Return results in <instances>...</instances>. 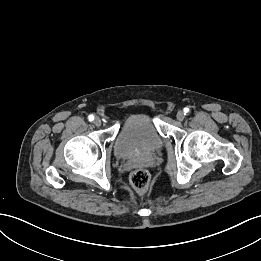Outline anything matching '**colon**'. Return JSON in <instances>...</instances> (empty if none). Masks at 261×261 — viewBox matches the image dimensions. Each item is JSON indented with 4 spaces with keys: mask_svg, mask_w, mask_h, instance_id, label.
I'll return each instance as SVG.
<instances>
[{
    "mask_svg": "<svg viewBox=\"0 0 261 261\" xmlns=\"http://www.w3.org/2000/svg\"><path fill=\"white\" fill-rule=\"evenodd\" d=\"M130 181L137 192H144L148 188L150 175L144 169H137L131 173Z\"/></svg>",
    "mask_w": 261,
    "mask_h": 261,
    "instance_id": "obj_1",
    "label": "colon"
}]
</instances>
